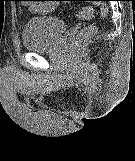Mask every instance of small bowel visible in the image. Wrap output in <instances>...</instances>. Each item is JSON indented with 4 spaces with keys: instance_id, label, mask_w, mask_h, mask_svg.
<instances>
[{
    "instance_id": "c3829d8e",
    "label": "small bowel",
    "mask_w": 135,
    "mask_h": 161,
    "mask_svg": "<svg viewBox=\"0 0 135 161\" xmlns=\"http://www.w3.org/2000/svg\"><path fill=\"white\" fill-rule=\"evenodd\" d=\"M54 4H49L48 2L42 3L40 6L36 7L35 5H31V10H40L42 12H49L54 9Z\"/></svg>"
}]
</instances>
